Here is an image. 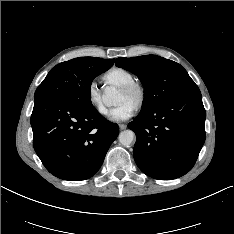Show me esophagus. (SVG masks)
<instances>
[{
  "label": "esophagus",
  "instance_id": "1",
  "mask_svg": "<svg viewBox=\"0 0 234 234\" xmlns=\"http://www.w3.org/2000/svg\"><path fill=\"white\" fill-rule=\"evenodd\" d=\"M119 128H120V130H124L127 128V125L126 124H119Z\"/></svg>",
  "mask_w": 234,
  "mask_h": 234
}]
</instances>
